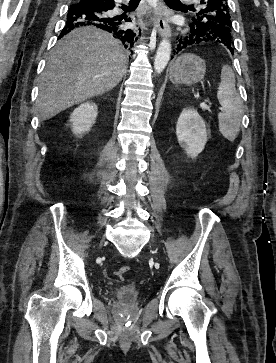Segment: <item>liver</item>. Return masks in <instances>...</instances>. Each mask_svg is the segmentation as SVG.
Instances as JSON below:
<instances>
[{
    "mask_svg": "<svg viewBox=\"0 0 276 363\" xmlns=\"http://www.w3.org/2000/svg\"><path fill=\"white\" fill-rule=\"evenodd\" d=\"M127 70L120 41L95 27L65 35L53 48L41 75L37 108L44 121L113 89Z\"/></svg>",
    "mask_w": 276,
    "mask_h": 363,
    "instance_id": "obj_1",
    "label": "liver"
}]
</instances>
